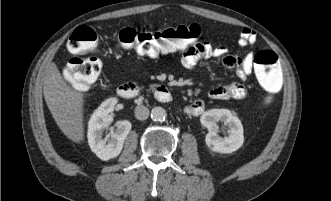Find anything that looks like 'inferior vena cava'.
<instances>
[{"instance_id": "inferior-vena-cava-1", "label": "inferior vena cava", "mask_w": 331, "mask_h": 201, "mask_svg": "<svg viewBox=\"0 0 331 201\" xmlns=\"http://www.w3.org/2000/svg\"><path fill=\"white\" fill-rule=\"evenodd\" d=\"M149 116V109L145 106H137L135 108V117L138 120H146Z\"/></svg>"}]
</instances>
